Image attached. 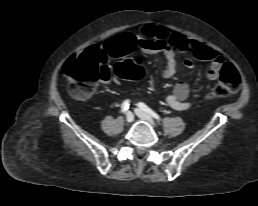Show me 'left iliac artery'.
<instances>
[{"instance_id": "1", "label": "left iliac artery", "mask_w": 258, "mask_h": 206, "mask_svg": "<svg viewBox=\"0 0 258 206\" xmlns=\"http://www.w3.org/2000/svg\"><path fill=\"white\" fill-rule=\"evenodd\" d=\"M138 106L141 110H143L144 112L149 114L151 117L157 119L158 121L161 120L160 116L156 112H154L152 109H150L146 104L140 102V103H138Z\"/></svg>"}]
</instances>
